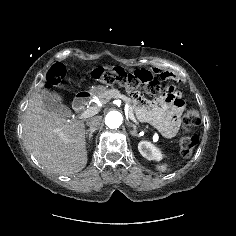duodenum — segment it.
<instances>
[{
	"label": "duodenum",
	"instance_id": "obj_1",
	"mask_svg": "<svg viewBox=\"0 0 236 236\" xmlns=\"http://www.w3.org/2000/svg\"><path fill=\"white\" fill-rule=\"evenodd\" d=\"M90 94L83 93L73 101V109L77 112L83 111L90 101Z\"/></svg>",
	"mask_w": 236,
	"mask_h": 236
}]
</instances>
